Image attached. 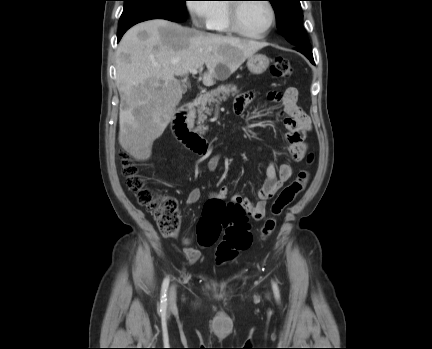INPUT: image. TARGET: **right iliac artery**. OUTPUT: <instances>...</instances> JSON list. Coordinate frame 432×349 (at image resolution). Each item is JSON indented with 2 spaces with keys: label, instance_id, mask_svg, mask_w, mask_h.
<instances>
[{
  "label": "right iliac artery",
  "instance_id": "82829eb1",
  "mask_svg": "<svg viewBox=\"0 0 432 349\" xmlns=\"http://www.w3.org/2000/svg\"><path fill=\"white\" fill-rule=\"evenodd\" d=\"M169 286V277H166L162 283L161 298H160V311L164 312L167 308V289Z\"/></svg>",
  "mask_w": 432,
  "mask_h": 349
}]
</instances>
